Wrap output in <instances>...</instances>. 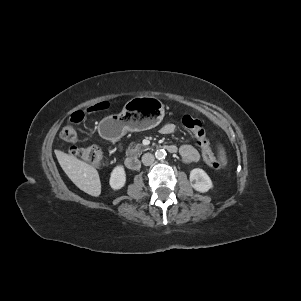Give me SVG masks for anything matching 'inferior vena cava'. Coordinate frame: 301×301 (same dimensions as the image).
Here are the masks:
<instances>
[{
	"label": "inferior vena cava",
	"instance_id": "1",
	"mask_svg": "<svg viewBox=\"0 0 301 301\" xmlns=\"http://www.w3.org/2000/svg\"><path fill=\"white\" fill-rule=\"evenodd\" d=\"M154 155L151 154V153H145L143 156H142V163L145 165V166H149L151 164H153L154 162Z\"/></svg>",
	"mask_w": 301,
	"mask_h": 301
}]
</instances>
